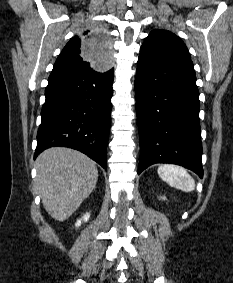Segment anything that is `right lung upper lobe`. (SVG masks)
Instances as JSON below:
<instances>
[{"instance_id": "right-lung-upper-lobe-1", "label": "right lung upper lobe", "mask_w": 233, "mask_h": 283, "mask_svg": "<svg viewBox=\"0 0 233 283\" xmlns=\"http://www.w3.org/2000/svg\"><path fill=\"white\" fill-rule=\"evenodd\" d=\"M112 38L104 28L85 30L73 37L58 56L52 72L74 69L110 70L116 49H111Z\"/></svg>"}]
</instances>
